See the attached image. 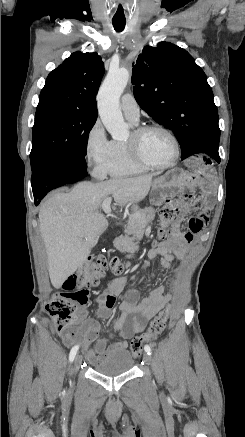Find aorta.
Wrapping results in <instances>:
<instances>
[{"mask_svg": "<svg viewBox=\"0 0 245 437\" xmlns=\"http://www.w3.org/2000/svg\"><path fill=\"white\" fill-rule=\"evenodd\" d=\"M129 80L126 69H110L102 83L97 100L100 118L113 139L128 136V128L119 108V98Z\"/></svg>", "mask_w": 245, "mask_h": 437, "instance_id": "aorta-1", "label": "aorta"}]
</instances>
